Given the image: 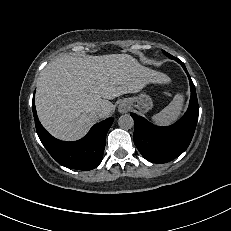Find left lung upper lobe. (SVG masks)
I'll return each instance as SVG.
<instances>
[{
	"label": "left lung upper lobe",
	"instance_id": "5c2ea615",
	"mask_svg": "<svg viewBox=\"0 0 231 231\" xmlns=\"http://www.w3.org/2000/svg\"><path fill=\"white\" fill-rule=\"evenodd\" d=\"M163 53L166 55V56H168V57H172V55H170L169 53H167V52H165V51H163Z\"/></svg>",
	"mask_w": 231,
	"mask_h": 231
}]
</instances>
